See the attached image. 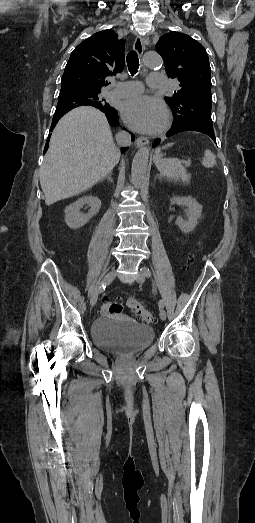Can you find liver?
I'll list each match as a JSON object with an SVG mask.
<instances>
[{"instance_id":"liver-1","label":"liver","mask_w":255,"mask_h":523,"mask_svg":"<svg viewBox=\"0 0 255 523\" xmlns=\"http://www.w3.org/2000/svg\"><path fill=\"white\" fill-rule=\"evenodd\" d=\"M119 158L105 114L90 106L71 110L55 126L40 168L46 206L88 190Z\"/></svg>"}]
</instances>
